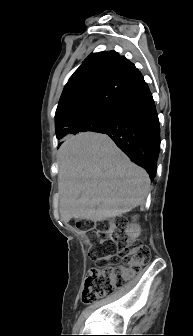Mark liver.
<instances>
[{
  "mask_svg": "<svg viewBox=\"0 0 193 336\" xmlns=\"http://www.w3.org/2000/svg\"><path fill=\"white\" fill-rule=\"evenodd\" d=\"M59 211L72 218L104 221L144 204L147 172L106 134L86 132L68 138L58 151Z\"/></svg>",
  "mask_w": 193,
  "mask_h": 336,
  "instance_id": "6515ba94",
  "label": "liver"
}]
</instances>
